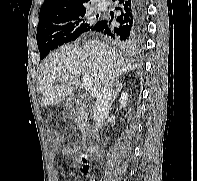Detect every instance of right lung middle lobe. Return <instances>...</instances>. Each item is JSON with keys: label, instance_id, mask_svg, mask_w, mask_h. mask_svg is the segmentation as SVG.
Returning <instances> with one entry per match:
<instances>
[{"label": "right lung middle lobe", "instance_id": "obj_1", "mask_svg": "<svg viewBox=\"0 0 197 181\" xmlns=\"http://www.w3.org/2000/svg\"><path fill=\"white\" fill-rule=\"evenodd\" d=\"M96 22L97 16L91 15L87 7L40 20L36 34L40 58L64 43L75 41L92 30Z\"/></svg>", "mask_w": 197, "mask_h": 181}]
</instances>
